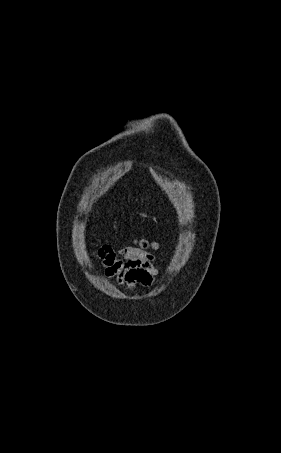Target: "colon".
<instances>
[{"label":"colon","instance_id":"obj_1","mask_svg":"<svg viewBox=\"0 0 281 453\" xmlns=\"http://www.w3.org/2000/svg\"><path fill=\"white\" fill-rule=\"evenodd\" d=\"M138 247H146V246L142 243V244H139ZM100 259H101V260H105V256L102 255V256L100 257Z\"/></svg>","mask_w":281,"mask_h":453}]
</instances>
